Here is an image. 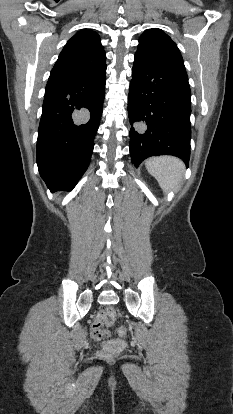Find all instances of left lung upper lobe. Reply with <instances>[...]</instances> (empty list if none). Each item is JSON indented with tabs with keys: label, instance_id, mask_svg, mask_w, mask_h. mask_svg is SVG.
<instances>
[{
	"label": "left lung upper lobe",
	"instance_id": "obj_1",
	"mask_svg": "<svg viewBox=\"0 0 233 414\" xmlns=\"http://www.w3.org/2000/svg\"><path fill=\"white\" fill-rule=\"evenodd\" d=\"M136 54L169 67L185 70L177 45L161 29L145 31L139 39Z\"/></svg>",
	"mask_w": 233,
	"mask_h": 414
}]
</instances>
